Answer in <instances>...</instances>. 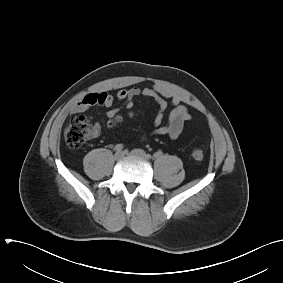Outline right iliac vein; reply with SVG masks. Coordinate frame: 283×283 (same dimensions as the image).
Here are the masks:
<instances>
[{
	"instance_id": "63e3f726",
	"label": "right iliac vein",
	"mask_w": 283,
	"mask_h": 283,
	"mask_svg": "<svg viewBox=\"0 0 283 283\" xmlns=\"http://www.w3.org/2000/svg\"><path fill=\"white\" fill-rule=\"evenodd\" d=\"M123 157H124V153L121 152V151H118L114 154V159L117 160V161L121 160Z\"/></svg>"
}]
</instances>
